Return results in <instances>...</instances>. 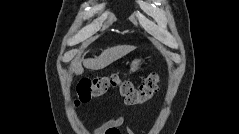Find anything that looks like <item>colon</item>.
<instances>
[{"mask_svg": "<svg viewBox=\"0 0 239 134\" xmlns=\"http://www.w3.org/2000/svg\"><path fill=\"white\" fill-rule=\"evenodd\" d=\"M158 87L159 76L156 73L145 78L139 87H136L130 79L121 77L119 73L92 78L84 77L77 85L74 102L76 105L88 103L92 98L101 96L110 89H116L126 103L144 104L157 92Z\"/></svg>", "mask_w": 239, "mask_h": 134, "instance_id": "5ec220e1", "label": "colon"}]
</instances>
